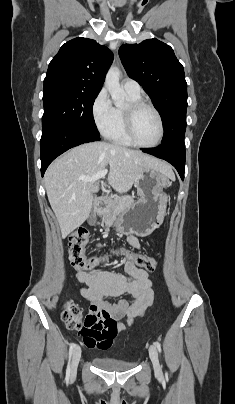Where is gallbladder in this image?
I'll return each mask as SVG.
<instances>
[{
  "mask_svg": "<svg viewBox=\"0 0 235 404\" xmlns=\"http://www.w3.org/2000/svg\"><path fill=\"white\" fill-rule=\"evenodd\" d=\"M95 220H96L95 213L92 212V213H91L90 220H89V223L92 225V224L95 223Z\"/></svg>",
  "mask_w": 235,
  "mask_h": 404,
  "instance_id": "bac80fb5",
  "label": "gallbladder"
}]
</instances>
